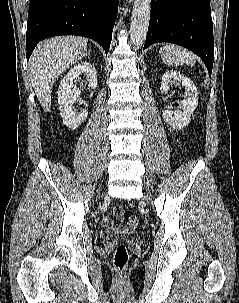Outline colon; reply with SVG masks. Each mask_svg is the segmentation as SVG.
I'll use <instances>...</instances> for the list:
<instances>
[{
  "label": "colon",
  "instance_id": "1",
  "mask_svg": "<svg viewBox=\"0 0 239 303\" xmlns=\"http://www.w3.org/2000/svg\"><path fill=\"white\" fill-rule=\"evenodd\" d=\"M113 215L117 219L123 220L126 215L125 209L122 206H115L113 208ZM128 259H129V255H128L127 247L123 243L119 244L114 252V257H113V263L115 268L118 271H123L127 266Z\"/></svg>",
  "mask_w": 239,
  "mask_h": 303
}]
</instances>
